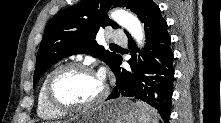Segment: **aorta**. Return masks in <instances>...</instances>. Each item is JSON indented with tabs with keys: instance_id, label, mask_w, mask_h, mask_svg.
<instances>
[{
	"instance_id": "obj_1",
	"label": "aorta",
	"mask_w": 221,
	"mask_h": 123,
	"mask_svg": "<svg viewBox=\"0 0 221 123\" xmlns=\"http://www.w3.org/2000/svg\"><path fill=\"white\" fill-rule=\"evenodd\" d=\"M111 18L116 23L124 27L139 44H142L144 34L141 23L137 17L125 10H116L111 13Z\"/></svg>"
}]
</instances>
